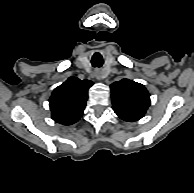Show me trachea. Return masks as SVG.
I'll list each match as a JSON object with an SVG mask.
<instances>
[{"mask_svg":"<svg viewBox=\"0 0 194 193\" xmlns=\"http://www.w3.org/2000/svg\"><path fill=\"white\" fill-rule=\"evenodd\" d=\"M91 63L93 67H101L104 63L102 56L98 53L94 54V56L91 59Z\"/></svg>","mask_w":194,"mask_h":193,"instance_id":"obj_1","label":"trachea"}]
</instances>
